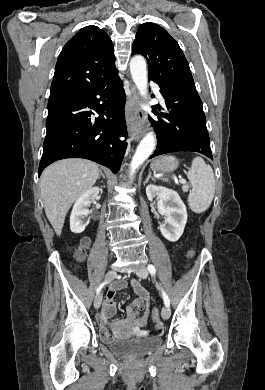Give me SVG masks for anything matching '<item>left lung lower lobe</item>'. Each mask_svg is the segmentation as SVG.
<instances>
[{"instance_id": "obj_1", "label": "left lung lower lobe", "mask_w": 265, "mask_h": 390, "mask_svg": "<svg viewBox=\"0 0 265 390\" xmlns=\"http://www.w3.org/2000/svg\"><path fill=\"white\" fill-rule=\"evenodd\" d=\"M158 85L168 113H160L165 120L160 117L158 122L152 120L157 134V147L150 158L172 152L191 151L213 159L206 118L195 85ZM153 109L161 110V107Z\"/></svg>"}]
</instances>
